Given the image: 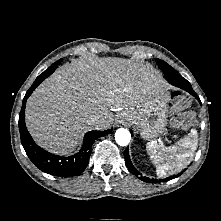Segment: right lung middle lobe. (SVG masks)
I'll return each instance as SVG.
<instances>
[{"label":"right lung middle lobe","instance_id":"obj_1","mask_svg":"<svg viewBox=\"0 0 221 221\" xmlns=\"http://www.w3.org/2000/svg\"><path fill=\"white\" fill-rule=\"evenodd\" d=\"M61 61H62V59L56 61V62H55L54 64H52L48 69H52L53 67H54V68L57 67V66L60 64Z\"/></svg>","mask_w":221,"mask_h":221}]
</instances>
